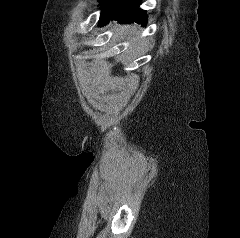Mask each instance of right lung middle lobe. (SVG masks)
I'll list each match as a JSON object with an SVG mask.
<instances>
[{
	"mask_svg": "<svg viewBox=\"0 0 240 238\" xmlns=\"http://www.w3.org/2000/svg\"><path fill=\"white\" fill-rule=\"evenodd\" d=\"M126 1L127 0H100L102 4L100 20L116 12Z\"/></svg>",
	"mask_w": 240,
	"mask_h": 238,
	"instance_id": "obj_1",
	"label": "right lung middle lobe"
}]
</instances>
